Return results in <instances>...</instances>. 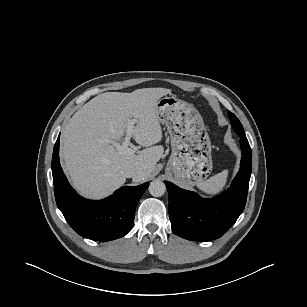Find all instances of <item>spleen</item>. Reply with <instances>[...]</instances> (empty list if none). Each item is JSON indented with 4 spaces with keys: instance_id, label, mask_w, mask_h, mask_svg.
Returning <instances> with one entry per match:
<instances>
[{
    "instance_id": "obj_1",
    "label": "spleen",
    "mask_w": 307,
    "mask_h": 307,
    "mask_svg": "<svg viewBox=\"0 0 307 307\" xmlns=\"http://www.w3.org/2000/svg\"><path fill=\"white\" fill-rule=\"evenodd\" d=\"M229 171L224 170L221 173H218L208 180H205L199 183L197 186L199 190L204 192L207 195H216L220 193L227 183Z\"/></svg>"
}]
</instances>
